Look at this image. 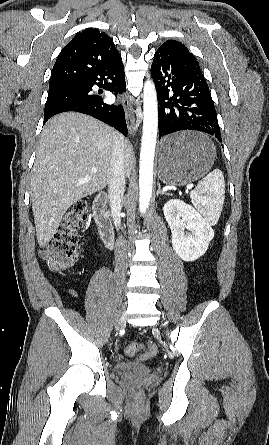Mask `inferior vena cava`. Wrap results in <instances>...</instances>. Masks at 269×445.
<instances>
[{
    "label": "inferior vena cava",
    "mask_w": 269,
    "mask_h": 445,
    "mask_svg": "<svg viewBox=\"0 0 269 445\" xmlns=\"http://www.w3.org/2000/svg\"><path fill=\"white\" fill-rule=\"evenodd\" d=\"M124 137L115 133L112 157H111V178L108 184V193L114 225L117 230L120 228V212L122 208L123 195L125 191V161H124Z\"/></svg>",
    "instance_id": "602c4592"
}]
</instances>
